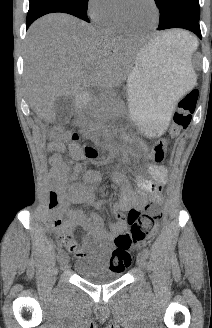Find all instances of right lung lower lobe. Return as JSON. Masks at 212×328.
Returning a JSON list of instances; mask_svg holds the SVG:
<instances>
[{
    "instance_id": "1",
    "label": "right lung lower lobe",
    "mask_w": 212,
    "mask_h": 328,
    "mask_svg": "<svg viewBox=\"0 0 212 328\" xmlns=\"http://www.w3.org/2000/svg\"><path fill=\"white\" fill-rule=\"evenodd\" d=\"M62 12L74 15L89 22L86 9L68 0H34L30 2L27 14L26 29L39 17L48 14Z\"/></svg>"
}]
</instances>
